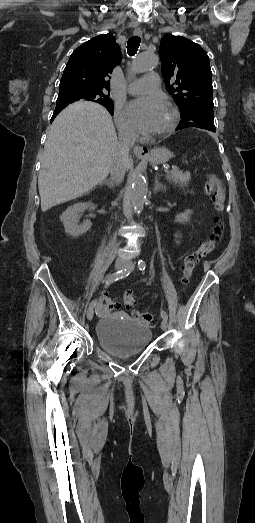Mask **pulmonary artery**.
<instances>
[{
	"mask_svg": "<svg viewBox=\"0 0 255 523\" xmlns=\"http://www.w3.org/2000/svg\"><path fill=\"white\" fill-rule=\"evenodd\" d=\"M158 78V73L150 72L146 76L141 77V79L132 82L128 86V92L132 94L145 92L147 96H150L152 92L158 94L160 92ZM136 97H139V94H136Z\"/></svg>",
	"mask_w": 255,
	"mask_h": 523,
	"instance_id": "obj_1",
	"label": "pulmonary artery"
}]
</instances>
